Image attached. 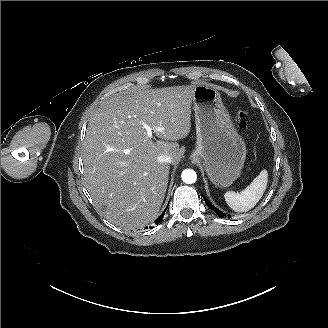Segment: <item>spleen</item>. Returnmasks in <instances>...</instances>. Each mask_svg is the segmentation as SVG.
I'll list each match as a JSON object with an SVG mask.
<instances>
[{"mask_svg": "<svg viewBox=\"0 0 328 328\" xmlns=\"http://www.w3.org/2000/svg\"><path fill=\"white\" fill-rule=\"evenodd\" d=\"M267 185V171L260 174L239 193L226 192L224 197L228 206L234 211H248L253 208L262 197Z\"/></svg>", "mask_w": 328, "mask_h": 328, "instance_id": "spleen-1", "label": "spleen"}]
</instances>
